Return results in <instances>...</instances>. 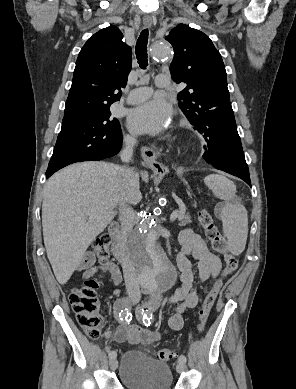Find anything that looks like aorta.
Returning a JSON list of instances; mask_svg holds the SVG:
<instances>
[{
	"instance_id": "aorta-1",
	"label": "aorta",
	"mask_w": 296,
	"mask_h": 389,
	"mask_svg": "<svg viewBox=\"0 0 296 389\" xmlns=\"http://www.w3.org/2000/svg\"><path fill=\"white\" fill-rule=\"evenodd\" d=\"M149 59L170 62V46L166 42L156 43L149 52ZM128 250L145 291L158 294L174 285L176 270L160 244L158 226L152 217L145 216L137 225L129 238Z\"/></svg>"
}]
</instances>
